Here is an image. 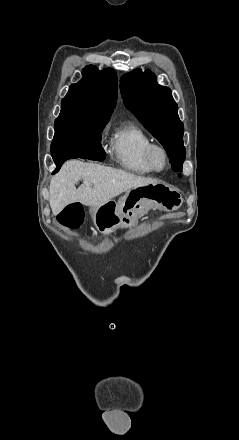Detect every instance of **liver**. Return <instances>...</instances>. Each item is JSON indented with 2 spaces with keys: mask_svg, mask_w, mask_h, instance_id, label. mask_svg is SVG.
<instances>
[{
  "mask_svg": "<svg viewBox=\"0 0 239 440\" xmlns=\"http://www.w3.org/2000/svg\"><path fill=\"white\" fill-rule=\"evenodd\" d=\"M78 180H84L78 190L75 188ZM149 184H160L159 180L134 176L124 170L106 168L100 164H84L79 160H69L63 164L60 172L53 176L50 182V208L53 216L62 212L67 204L80 202L84 206L97 208L100 204L110 202L112 198L128 192L131 188H141Z\"/></svg>",
  "mask_w": 239,
  "mask_h": 440,
  "instance_id": "1",
  "label": "liver"
}]
</instances>
